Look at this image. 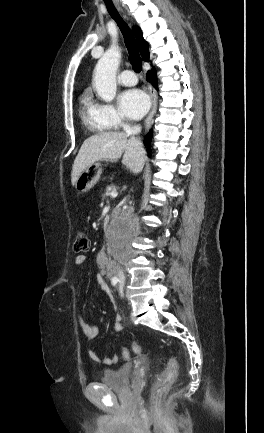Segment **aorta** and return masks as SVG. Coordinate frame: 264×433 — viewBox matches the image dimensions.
<instances>
[{"label": "aorta", "instance_id": "aorta-1", "mask_svg": "<svg viewBox=\"0 0 264 433\" xmlns=\"http://www.w3.org/2000/svg\"><path fill=\"white\" fill-rule=\"evenodd\" d=\"M121 59L118 49H108L99 59L93 77L97 94L106 102H111L116 95V72Z\"/></svg>", "mask_w": 264, "mask_h": 433}]
</instances>
